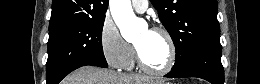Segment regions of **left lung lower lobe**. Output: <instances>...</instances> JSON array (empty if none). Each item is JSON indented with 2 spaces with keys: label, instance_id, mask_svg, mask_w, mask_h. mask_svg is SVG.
Listing matches in <instances>:
<instances>
[{
  "label": "left lung lower lobe",
  "instance_id": "1",
  "mask_svg": "<svg viewBox=\"0 0 260 84\" xmlns=\"http://www.w3.org/2000/svg\"><path fill=\"white\" fill-rule=\"evenodd\" d=\"M165 77H198L212 84H224L221 45H210L197 50L182 65L172 68Z\"/></svg>",
  "mask_w": 260,
  "mask_h": 84
}]
</instances>
